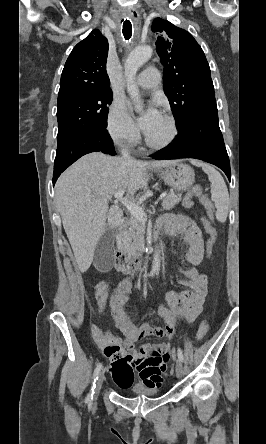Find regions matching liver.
I'll return each instance as SVG.
<instances>
[{"mask_svg": "<svg viewBox=\"0 0 266 444\" xmlns=\"http://www.w3.org/2000/svg\"><path fill=\"white\" fill-rule=\"evenodd\" d=\"M175 162H143L93 152L81 157L59 177L55 186L56 203L81 272L90 268L105 231L123 223L119 206L109 208L108 199L120 190L134 196L147 186L149 169L164 168Z\"/></svg>", "mask_w": 266, "mask_h": 444, "instance_id": "obj_1", "label": "liver"}]
</instances>
